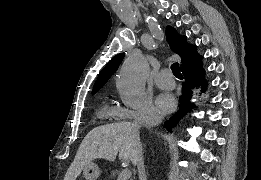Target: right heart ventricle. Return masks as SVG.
<instances>
[{"label": "right heart ventricle", "mask_w": 261, "mask_h": 180, "mask_svg": "<svg viewBox=\"0 0 261 180\" xmlns=\"http://www.w3.org/2000/svg\"><path fill=\"white\" fill-rule=\"evenodd\" d=\"M119 110L107 101L101 102L96 111V121L117 122ZM100 127V126H99Z\"/></svg>", "instance_id": "obj_1"}]
</instances>
